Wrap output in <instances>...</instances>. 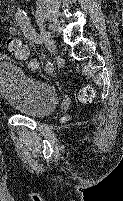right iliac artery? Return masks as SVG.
<instances>
[{
    "label": "right iliac artery",
    "mask_w": 123,
    "mask_h": 201,
    "mask_svg": "<svg viewBox=\"0 0 123 201\" xmlns=\"http://www.w3.org/2000/svg\"><path fill=\"white\" fill-rule=\"evenodd\" d=\"M16 17H17V20L19 22V25L21 27V30H22L23 34L30 41H32V42H34L36 44H41L42 43L41 36L39 34H37L36 31L31 26L25 11H23L21 9H18V11L16 13ZM45 70H46L47 73L52 72L53 64L50 61L47 62Z\"/></svg>",
    "instance_id": "obj_1"
}]
</instances>
